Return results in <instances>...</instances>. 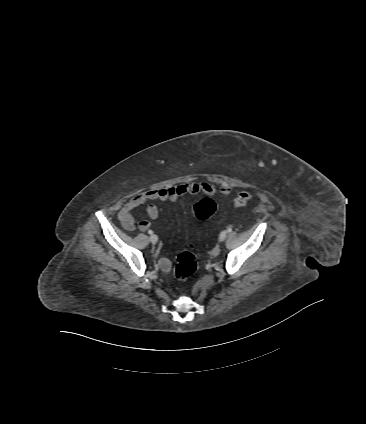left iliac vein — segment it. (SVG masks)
Here are the masks:
<instances>
[{
    "mask_svg": "<svg viewBox=\"0 0 366 424\" xmlns=\"http://www.w3.org/2000/svg\"><path fill=\"white\" fill-rule=\"evenodd\" d=\"M226 237H227V231H226V230H224V231H222V232L220 233V235H219V240H220V241H224V240L226 239Z\"/></svg>",
    "mask_w": 366,
    "mask_h": 424,
    "instance_id": "left-iliac-vein-1",
    "label": "left iliac vein"
}]
</instances>
